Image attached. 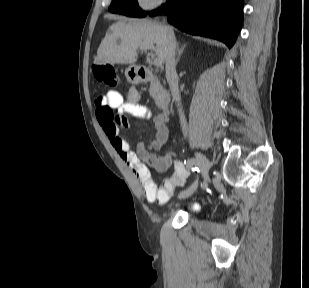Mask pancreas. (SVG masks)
I'll return each mask as SVG.
<instances>
[{"instance_id":"pancreas-1","label":"pancreas","mask_w":309,"mask_h":288,"mask_svg":"<svg viewBox=\"0 0 309 288\" xmlns=\"http://www.w3.org/2000/svg\"><path fill=\"white\" fill-rule=\"evenodd\" d=\"M163 90L164 89H163L159 79L156 76L153 77V79L150 83V88H149L150 96L153 97L156 101H158L159 94Z\"/></svg>"}]
</instances>
